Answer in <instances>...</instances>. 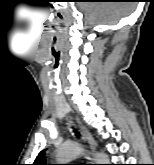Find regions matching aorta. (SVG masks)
Masks as SVG:
<instances>
[{"mask_svg": "<svg viewBox=\"0 0 154 165\" xmlns=\"http://www.w3.org/2000/svg\"><path fill=\"white\" fill-rule=\"evenodd\" d=\"M82 152V147L77 143H70L61 146L57 150L56 160L58 164H68ZM96 164H109V158L104 153H97Z\"/></svg>", "mask_w": 154, "mask_h": 165, "instance_id": "obj_1", "label": "aorta"}]
</instances>
